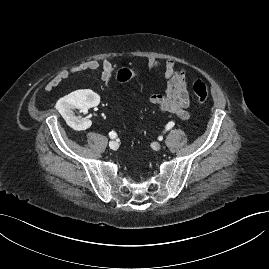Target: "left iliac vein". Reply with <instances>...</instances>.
<instances>
[{
	"instance_id": "obj_1",
	"label": "left iliac vein",
	"mask_w": 269,
	"mask_h": 269,
	"mask_svg": "<svg viewBox=\"0 0 269 269\" xmlns=\"http://www.w3.org/2000/svg\"><path fill=\"white\" fill-rule=\"evenodd\" d=\"M156 150H160L161 149V145L160 144H154L153 146Z\"/></svg>"
}]
</instances>
